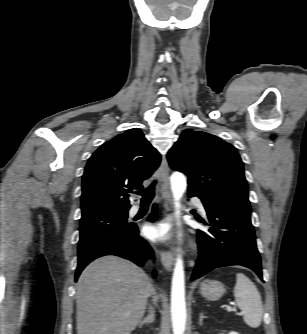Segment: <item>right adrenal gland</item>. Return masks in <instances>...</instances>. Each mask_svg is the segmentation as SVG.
Instances as JSON below:
<instances>
[{
  "label": "right adrenal gland",
  "mask_w": 307,
  "mask_h": 334,
  "mask_svg": "<svg viewBox=\"0 0 307 334\" xmlns=\"http://www.w3.org/2000/svg\"><path fill=\"white\" fill-rule=\"evenodd\" d=\"M155 320V311L154 309L150 308L149 310V314L147 315V317H145L141 322L139 327H142V325L144 324H150L153 323Z\"/></svg>",
  "instance_id": "2a0ac1e0"
}]
</instances>
